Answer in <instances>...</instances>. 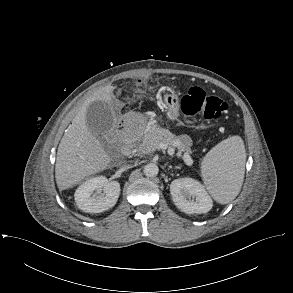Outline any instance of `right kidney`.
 <instances>
[{"label":"right kidney","mask_w":293,"mask_h":293,"mask_svg":"<svg viewBox=\"0 0 293 293\" xmlns=\"http://www.w3.org/2000/svg\"><path fill=\"white\" fill-rule=\"evenodd\" d=\"M102 189L105 195L94 198L95 190ZM120 195L118 181H109L105 176H97L86 180L75 191L74 198L79 209L87 213H101L112 208Z\"/></svg>","instance_id":"obj_1"}]
</instances>
